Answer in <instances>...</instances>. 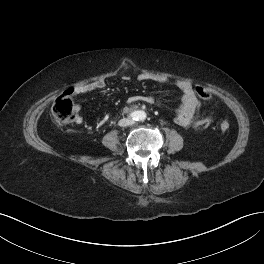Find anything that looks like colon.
I'll return each instance as SVG.
<instances>
[{"instance_id":"5ec220e1","label":"colon","mask_w":264,"mask_h":264,"mask_svg":"<svg viewBox=\"0 0 264 264\" xmlns=\"http://www.w3.org/2000/svg\"><path fill=\"white\" fill-rule=\"evenodd\" d=\"M194 91L201 99L208 100L211 98L210 92L202 86H195ZM52 114L58 124L68 123L75 119L76 110L70 92H65L56 99ZM211 124L212 120L210 118L199 119L192 123L193 127L197 130L207 129ZM220 128L222 131L229 130V122H221Z\"/></svg>"}]
</instances>
